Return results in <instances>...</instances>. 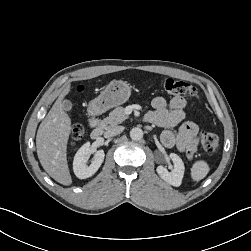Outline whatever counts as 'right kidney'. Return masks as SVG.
Masks as SVG:
<instances>
[{"instance_id":"right-kidney-1","label":"right kidney","mask_w":251,"mask_h":251,"mask_svg":"<svg viewBox=\"0 0 251 251\" xmlns=\"http://www.w3.org/2000/svg\"><path fill=\"white\" fill-rule=\"evenodd\" d=\"M90 152V143H85L76 153L73 160V171L79 179H86L94 175L104 161L105 153L98 150L95 153L94 161L87 166L86 162Z\"/></svg>"}]
</instances>
